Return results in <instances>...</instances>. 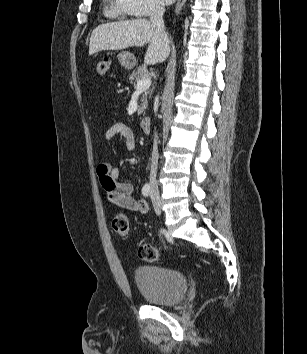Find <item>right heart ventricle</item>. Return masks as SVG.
Returning <instances> with one entry per match:
<instances>
[{
	"label": "right heart ventricle",
	"instance_id": "e07e8e85",
	"mask_svg": "<svg viewBox=\"0 0 307 354\" xmlns=\"http://www.w3.org/2000/svg\"><path fill=\"white\" fill-rule=\"evenodd\" d=\"M105 14L111 18H125L133 13L128 8L124 0H107Z\"/></svg>",
	"mask_w": 307,
	"mask_h": 354
}]
</instances>
